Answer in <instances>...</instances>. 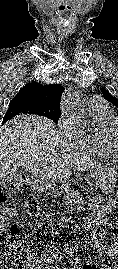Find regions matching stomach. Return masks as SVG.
<instances>
[{"label":"stomach","mask_w":118,"mask_h":269,"mask_svg":"<svg viewBox=\"0 0 118 269\" xmlns=\"http://www.w3.org/2000/svg\"><path fill=\"white\" fill-rule=\"evenodd\" d=\"M93 176L95 177L96 186L102 190L104 194H109L114 192L116 187V181L118 178V172L113 167L100 166L96 169ZM118 197V190L116 192ZM110 203H114L110 199Z\"/></svg>","instance_id":"stomach-1"}]
</instances>
